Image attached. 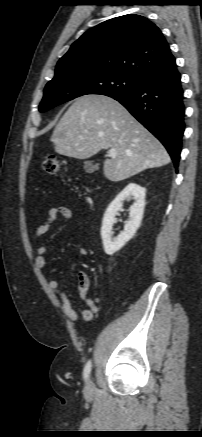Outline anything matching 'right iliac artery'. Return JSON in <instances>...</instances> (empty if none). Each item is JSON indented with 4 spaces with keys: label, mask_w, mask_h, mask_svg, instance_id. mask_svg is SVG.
I'll list each match as a JSON object with an SVG mask.
<instances>
[{
    "label": "right iliac artery",
    "mask_w": 202,
    "mask_h": 437,
    "mask_svg": "<svg viewBox=\"0 0 202 437\" xmlns=\"http://www.w3.org/2000/svg\"><path fill=\"white\" fill-rule=\"evenodd\" d=\"M91 371V361H88L84 367V371H83V375H84V379L87 381L89 378V374Z\"/></svg>",
    "instance_id": "1"
}]
</instances>
